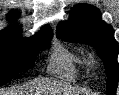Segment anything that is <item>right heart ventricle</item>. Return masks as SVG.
Masks as SVG:
<instances>
[{"label":"right heart ventricle","instance_id":"1","mask_svg":"<svg viewBox=\"0 0 119 95\" xmlns=\"http://www.w3.org/2000/svg\"><path fill=\"white\" fill-rule=\"evenodd\" d=\"M84 58L75 49L58 44L49 60L48 71L58 77L75 79L84 66Z\"/></svg>","mask_w":119,"mask_h":95}]
</instances>
